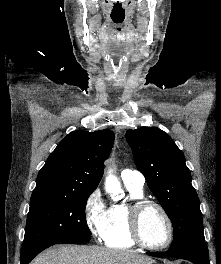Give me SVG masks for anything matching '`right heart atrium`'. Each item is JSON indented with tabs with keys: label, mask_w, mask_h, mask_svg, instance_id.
Here are the masks:
<instances>
[{
	"label": "right heart atrium",
	"mask_w": 221,
	"mask_h": 264,
	"mask_svg": "<svg viewBox=\"0 0 221 264\" xmlns=\"http://www.w3.org/2000/svg\"><path fill=\"white\" fill-rule=\"evenodd\" d=\"M84 221L90 233L98 239H102L108 217L101 193L98 189L93 190L86 198L83 207Z\"/></svg>",
	"instance_id": "right-heart-atrium-1"
}]
</instances>
